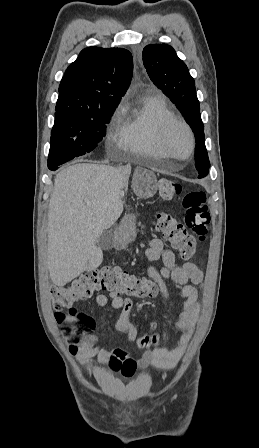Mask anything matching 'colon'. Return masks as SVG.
Here are the masks:
<instances>
[{
	"label": "colon",
	"instance_id": "5ec220e1",
	"mask_svg": "<svg viewBox=\"0 0 259 448\" xmlns=\"http://www.w3.org/2000/svg\"><path fill=\"white\" fill-rule=\"evenodd\" d=\"M181 185L169 178L159 180V196L162 201H169L180 195ZM182 205L185 211L184 224L176 221L167 212L156 216V228L172 243L184 259H191L195 254L196 240L204 241L209 232L210 214L207 208V196L203 191H191L184 195ZM105 290L117 296L137 299L152 297L157 293V286L151 279L136 277L117 268H102L81 275L70 284L54 287L51 299L55 318L61 325L63 337L68 344L76 345L93 327V320L73 305L89 298L95 291ZM159 340V335L146 334L138 338L137 344L148 349Z\"/></svg>",
	"mask_w": 259,
	"mask_h": 448
}]
</instances>
